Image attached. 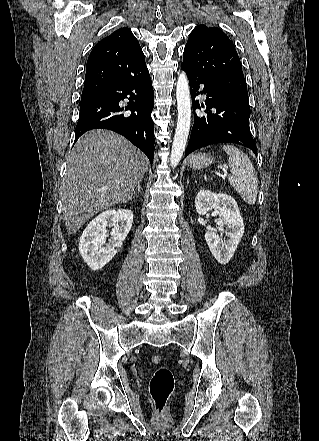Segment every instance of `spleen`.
Wrapping results in <instances>:
<instances>
[{
    "label": "spleen",
    "mask_w": 319,
    "mask_h": 441,
    "mask_svg": "<svg viewBox=\"0 0 319 441\" xmlns=\"http://www.w3.org/2000/svg\"><path fill=\"white\" fill-rule=\"evenodd\" d=\"M229 155L228 164L232 175L228 180L241 198L249 205L256 202L258 178L249 157L234 145H223Z\"/></svg>",
    "instance_id": "3e777b00"
}]
</instances>
